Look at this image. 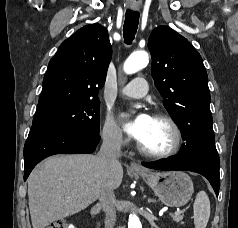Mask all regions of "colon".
Listing matches in <instances>:
<instances>
[{
    "instance_id": "colon-1",
    "label": "colon",
    "mask_w": 238,
    "mask_h": 228,
    "mask_svg": "<svg viewBox=\"0 0 238 228\" xmlns=\"http://www.w3.org/2000/svg\"><path fill=\"white\" fill-rule=\"evenodd\" d=\"M46 228H75V226L70 222L61 219L51 222Z\"/></svg>"
}]
</instances>
